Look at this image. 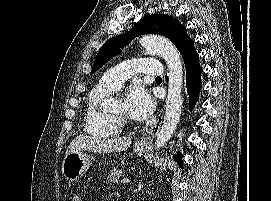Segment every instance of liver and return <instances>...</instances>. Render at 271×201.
Listing matches in <instances>:
<instances>
[{
    "label": "liver",
    "instance_id": "liver-1",
    "mask_svg": "<svg viewBox=\"0 0 271 201\" xmlns=\"http://www.w3.org/2000/svg\"><path fill=\"white\" fill-rule=\"evenodd\" d=\"M131 144L130 138L101 139L93 136L79 135L75 137L66 150V155L77 151L95 153H112L127 150Z\"/></svg>",
    "mask_w": 271,
    "mask_h": 201
}]
</instances>
